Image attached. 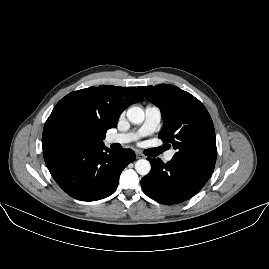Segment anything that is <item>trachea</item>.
I'll use <instances>...</instances> for the list:
<instances>
[{
  "label": "trachea",
  "mask_w": 269,
  "mask_h": 269,
  "mask_svg": "<svg viewBox=\"0 0 269 269\" xmlns=\"http://www.w3.org/2000/svg\"><path fill=\"white\" fill-rule=\"evenodd\" d=\"M165 150H167V148L164 145V146L159 147V148L148 149V150L144 151V154L147 155V156L155 157V156L161 154Z\"/></svg>",
  "instance_id": "1"
}]
</instances>
